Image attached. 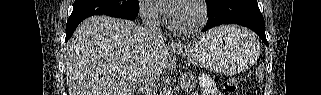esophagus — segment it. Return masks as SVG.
<instances>
[{"label": "esophagus", "mask_w": 321, "mask_h": 95, "mask_svg": "<svg viewBox=\"0 0 321 95\" xmlns=\"http://www.w3.org/2000/svg\"><path fill=\"white\" fill-rule=\"evenodd\" d=\"M170 45H171V47H174V48H177V47L181 46V44L179 42H176V41H173Z\"/></svg>", "instance_id": "34e87169"}]
</instances>
